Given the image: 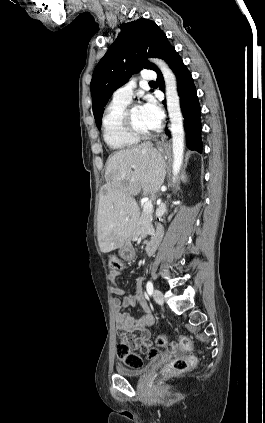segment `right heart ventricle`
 <instances>
[{"mask_svg":"<svg viewBox=\"0 0 265 423\" xmlns=\"http://www.w3.org/2000/svg\"><path fill=\"white\" fill-rule=\"evenodd\" d=\"M127 105V102L112 100L103 115V137L106 144L113 150L130 149L139 142V139L130 135L122 124V113Z\"/></svg>","mask_w":265,"mask_h":423,"instance_id":"e07e8e85","label":"right heart ventricle"}]
</instances>
